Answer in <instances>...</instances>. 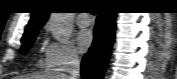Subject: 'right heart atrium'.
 <instances>
[{"label":"right heart atrium","instance_id":"1","mask_svg":"<svg viewBox=\"0 0 177 79\" xmlns=\"http://www.w3.org/2000/svg\"><path fill=\"white\" fill-rule=\"evenodd\" d=\"M79 60L77 50L68 44L50 42L45 49L46 66L55 71H66Z\"/></svg>","mask_w":177,"mask_h":79}]
</instances>
